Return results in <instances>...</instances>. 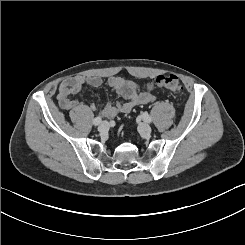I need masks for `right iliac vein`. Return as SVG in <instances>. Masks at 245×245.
<instances>
[{"mask_svg":"<svg viewBox=\"0 0 245 245\" xmlns=\"http://www.w3.org/2000/svg\"><path fill=\"white\" fill-rule=\"evenodd\" d=\"M108 129H109V124H108L107 121H102V122L100 123L99 127H98V130H99L100 132H104V131H106V130H108Z\"/></svg>","mask_w":245,"mask_h":245,"instance_id":"1","label":"right iliac vein"}]
</instances>
